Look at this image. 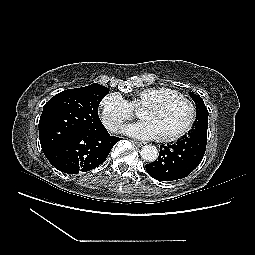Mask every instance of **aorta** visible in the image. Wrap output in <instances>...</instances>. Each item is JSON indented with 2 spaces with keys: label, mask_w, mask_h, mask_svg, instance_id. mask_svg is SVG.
Here are the masks:
<instances>
[{
  "label": "aorta",
  "mask_w": 255,
  "mask_h": 255,
  "mask_svg": "<svg viewBox=\"0 0 255 255\" xmlns=\"http://www.w3.org/2000/svg\"><path fill=\"white\" fill-rule=\"evenodd\" d=\"M140 154L141 157L148 162H154L159 155L158 149L153 145L143 146Z\"/></svg>",
  "instance_id": "762f6f07"
}]
</instances>
